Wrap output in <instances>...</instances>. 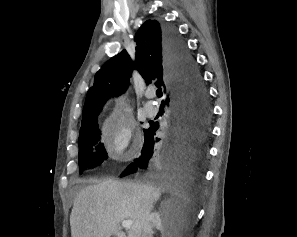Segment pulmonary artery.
Listing matches in <instances>:
<instances>
[{
  "mask_svg": "<svg viewBox=\"0 0 297 237\" xmlns=\"http://www.w3.org/2000/svg\"><path fill=\"white\" fill-rule=\"evenodd\" d=\"M145 111L149 116H154L158 112V108L155 104H153L151 101H148L145 104Z\"/></svg>",
  "mask_w": 297,
  "mask_h": 237,
  "instance_id": "pulmonary-artery-1",
  "label": "pulmonary artery"
}]
</instances>
